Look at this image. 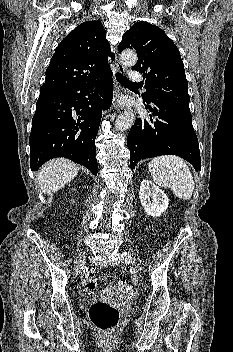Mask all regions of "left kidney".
Returning <instances> with one entry per match:
<instances>
[{"label": "left kidney", "mask_w": 233, "mask_h": 352, "mask_svg": "<svg viewBox=\"0 0 233 352\" xmlns=\"http://www.w3.org/2000/svg\"><path fill=\"white\" fill-rule=\"evenodd\" d=\"M139 198L145 213L152 217H159L169 205L168 197L164 191L146 179L141 182Z\"/></svg>", "instance_id": "1"}]
</instances>
